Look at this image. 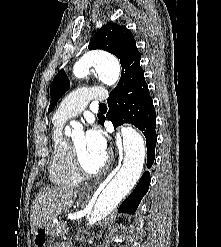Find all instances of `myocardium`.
Instances as JSON below:
<instances>
[{
	"label": "myocardium",
	"mask_w": 221,
	"mask_h": 247,
	"mask_svg": "<svg viewBox=\"0 0 221 247\" xmlns=\"http://www.w3.org/2000/svg\"><path fill=\"white\" fill-rule=\"evenodd\" d=\"M69 147H70V151H71V155H72V159H73L75 168H76L77 172L80 174V176H82V177H86V178L96 177L99 174H101L109 165L110 158L108 155H105L104 159L101 162V164L99 165V167L96 168L94 171H90L84 166L82 159H81V157L77 151V148L74 144L73 139L71 141H69Z\"/></svg>",
	"instance_id": "obj_1"
}]
</instances>
